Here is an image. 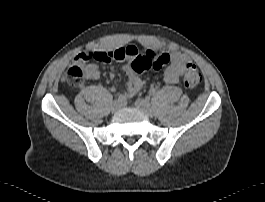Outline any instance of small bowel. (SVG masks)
<instances>
[{"label": "small bowel", "instance_id": "c3829d8e", "mask_svg": "<svg viewBox=\"0 0 265 202\" xmlns=\"http://www.w3.org/2000/svg\"><path fill=\"white\" fill-rule=\"evenodd\" d=\"M127 53H129V56H127L124 60H126V64L123 67V72L125 75V83H126V92L123 94L124 99L125 98H131L133 97L137 92H139L143 86H144V80L140 78L139 76L135 75L131 68V62L133 61L134 57L138 54V51L135 47L129 46L126 48H121ZM91 51H81L78 54H76L74 61L81 64L84 68L85 77L89 80H96L100 76V72L98 69V66L94 63H91L90 61L92 59L86 58V53ZM94 54L97 53H106L104 51H96L91 52ZM96 60V59H95ZM188 63H192V59L189 55L174 51L170 54V65L167 67V69L164 72V81L169 84H176L178 83L181 78L183 77L186 65ZM110 77L114 78V73H110ZM111 91H115L114 87L110 88Z\"/></svg>", "mask_w": 265, "mask_h": 202}]
</instances>
